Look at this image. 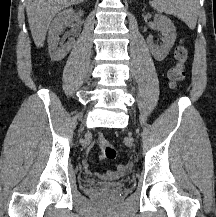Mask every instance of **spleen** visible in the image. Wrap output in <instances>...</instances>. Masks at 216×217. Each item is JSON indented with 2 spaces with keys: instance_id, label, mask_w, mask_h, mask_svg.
<instances>
[{
  "instance_id": "1",
  "label": "spleen",
  "mask_w": 216,
  "mask_h": 217,
  "mask_svg": "<svg viewBox=\"0 0 216 217\" xmlns=\"http://www.w3.org/2000/svg\"><path fill=\"white\" fill-rule=\"evenodd\" d=\"M152 5L185 22L190 29L196 27L199 12L198 0H153Z\"/></svg>"
}]
</instances>
